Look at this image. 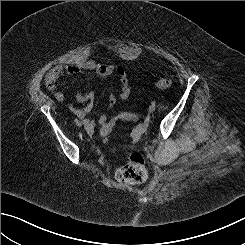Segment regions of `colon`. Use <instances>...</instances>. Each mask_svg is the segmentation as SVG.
Here are the masks:
<instances>
[{
    "instance_id": "5ec220e1",
    "label": "colon",
    "mask_w": 245,
    "mask_h": 245,
    "mask_svg": "<svg viewBox=\"0 0 245 245\" xmlns=\"http://www.w3.org/2000/svg\"><path fill=\"white\" fill-rule=\"evenodd\" d=\"M155 88L158 90H166L170 87L171 81L166 77H161L156 80ZM137 116L134 114L124 113L113 117L101 128V135L106 138L113 130L119 121H136ZM116 178L118 181L134 185L144 182L147 178V170L144 163V158L140 153H132L126 164L121 166L116 171Z\"/></svg>"
}]
</instances>
